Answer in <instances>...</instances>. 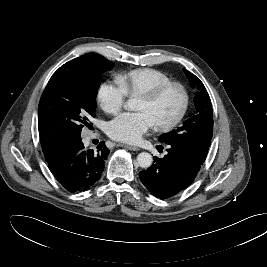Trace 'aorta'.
I'll return each mask as SVG.
<instances>
[{
    "label": "aorta",
    "instance_id": "obj_1",
    "mask_svg": "<svg viewBox=\"0 0 267 267\" xmlns=\"http://www.w3.org/2000/svg\"><path fill=\"white\" fill-rule=\"evenodd\" d=\"M125 108L128 110H135L136 109V101L134 99H130ZM153 158L152 155L147 152H142L137 156V163L142 168H148L152 165Z\"/></svg>",
    "mask_w": 267,
    "mask_h": 267
}]
</instances>
